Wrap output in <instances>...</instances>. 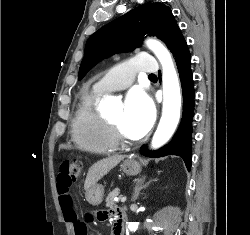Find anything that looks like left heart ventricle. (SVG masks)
<instances>
[{
	"label": "left heart ventricle",
	"mask_w": 250,
	"mask_h": 235,
	"mask_svg": "<svg viewBox=\"0 0 250 235\" xmlns=\"http://www.w3.org/2000/svg\"><path fill=\"white\" fill-rule=\"evenodd\" d=\"M108 119L115 124H117L121 130L123 131L124 135L130 139L135 138L126 128L124 124V109L121 108L118 111H116L114 114L110 115Z\"/></svg>",
	"instance_id": "b2bd125f"
}]
</instances>
